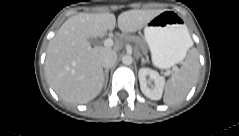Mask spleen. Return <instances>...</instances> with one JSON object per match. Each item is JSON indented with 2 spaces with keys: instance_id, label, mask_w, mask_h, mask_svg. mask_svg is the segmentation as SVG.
Masks as SVG:
<instances>
[{
  "instance_id": "spleen-1",
  "label": "spleen",
  "mask_w": 239,
  "mask_h": 136,
  "mask_svg": "<svg viewBox=\"0 0 239 136\" xmlns=\"http://www.w3.org/2000/svg\"><path fill=\"white\" fill-rule=\"evenodd\" d=\"M188 41L191 47L193 42L189 34ZM198 75V56L196 52L193 51L184 62L183 66L167 81L163 97L164 103L171 105L184 100L196 83Z\"/></svg>"
}]
</instances>
